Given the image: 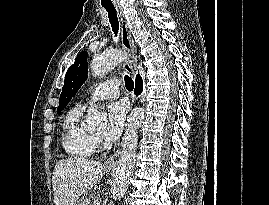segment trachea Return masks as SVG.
<instances>
[{
	"mask_svg": "<svg viewBox=\"0 0 269 205\" xmlns=\"http://www.w3.org/2000/svg\"><path fill=\"white\" fill-rule=\"evenodd\" d=\"M102 7H104V9L108 12V18L112 27V31L114 32L115 36H117L119 30V22L114 6L103 5ZM124 81L126 89L128 91H132L134 88L132 79L128 75H125Z\"/></svg>",
	"mask_w": 269,
	"mask_h": 205,
	"instance_id": "trachea-1",
	"label": "trachea"
}]
</instances>
